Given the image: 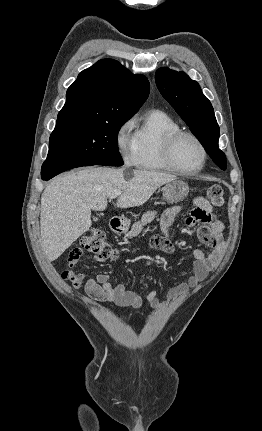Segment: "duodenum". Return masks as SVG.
Here are the masks:
<instances>
[{
    "label": "duodenum",
    "instance_id": "1",
    "mask_svg": "<svg viewBox=\"0 0 262 431\" xmlns=\"http://www.w3.org/2000/svg\"><path fill=\"white\" fill-rule=\"evenodd\" d=\"M110 225L114 232H121L124 227L123 220L118 216H113L110 219Z\"/></svg>",
    "mask_w": 262,
    "mask_h": 431
}]
</instances>
